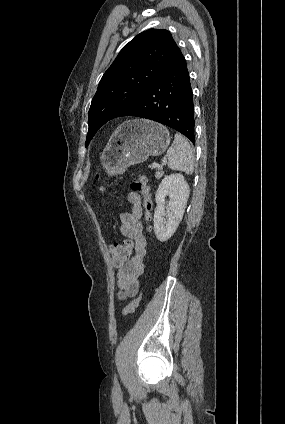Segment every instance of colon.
<instances>
[{
    "instance_id": "1",
    "label": "colon",
    "mask_w": 285,
    "mask_h": 424,
    "mask_svg": "<svg viewBox=\"0 0 285 424\" xmlns=\"http://www.w3.org/2000/svg\"><path fill=\"white\" fill-rule=\"evenodd\" d=\"M95 178L97 180H100L102 179V176L100 173H96ZM110 188H111V184L106 182L99 186V191L101 193H105ZM131 188L133 191L142 193L144 197V205L148 212V217H149V212L152 208V201H151L150 191L147 185V179L144 176H138L137 179L133 181ZM131 249H132V245L129 241H124L122 243H117V242L112 243L109 246V253L111 255L113 264L115 266H118L121 263H123L130 256ZM139 302H140V298L139 297L135 298L131 303H129L125 307V309L123 310V315L127 316L132 314L138 307Z\"/></svg>"
}]
</instances>
